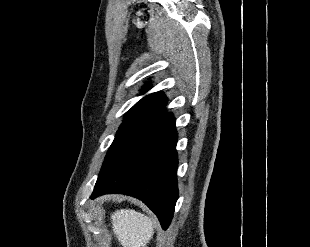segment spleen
<instances>
[{"mask_svg":"<svg viewBox=\"0 0 310 247\" xmlns=\"http://www.w3.org/2000/svg\"><path fill=\"white\" fill-rule=\"evenodd\" d=\"M113 232L123 247H146L154 234L151 218L131 209L111 215Z\"/></svg>","mask_w":310,"mask_h":247,"instance_id":"1","label":"spleen"}]
</instances>
